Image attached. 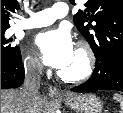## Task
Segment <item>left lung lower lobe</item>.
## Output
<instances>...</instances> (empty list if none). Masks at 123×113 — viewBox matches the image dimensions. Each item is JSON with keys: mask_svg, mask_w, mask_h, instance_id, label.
<instances>
[{"mask_svg": "<svg viewBox=\"0 0 123 113\" xmlns=\"http://www.w3.org/2000/svg\"><path fill=\"white\" fill-rule=\"evenodd\" d=\"M105 89L123 92V55L112 59L106 68L96 65L91 77L71 90L88 93Z\"/></svg>", "mask_w": 123, "mask_h": 113, "instance_id": "obj_1", "label": "left lung lower lobe"}]
</instances>
